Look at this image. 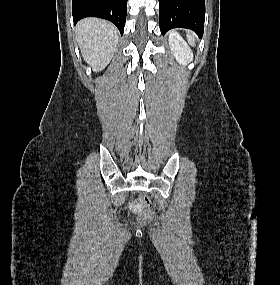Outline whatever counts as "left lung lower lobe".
<instances>
[{
	"instance_id": "obj_1",
	"label": "left lung lower lobe",
	"mask_w": 280,
	"mask_h": 285,
	"mask_svg": "<svg viewBox=\"0 0 280 285\" xmlns=\"http://www.w3.org/2000/svg\"><path fill=\"white\" fill-rule=\"evenodd\" d=\"M160 30L182 27L194 30L199 37L204 31L205 0H159Z\"/></svg>"
}]
</instances>
